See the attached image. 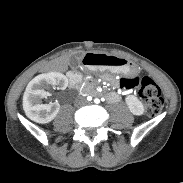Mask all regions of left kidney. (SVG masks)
I'll list each match as a JSON object with an SVG mask.
<instances>
[{"mask_svg": "<svg viewBox=\"0 0 183 183\" xmlns=\"http://www.w3.org/2000/svg\"><path fill=\"white\" fill-rule=\"evenodd\" d=\"M126 104L133 115L141 116L144 114V105L142 102L134 95H128L125 99Z\"/></svg>", "mask_w": 183, "mask_h": 183, "instance_id": "left-kidney-1", "label": "left kidney"}]
</instances>
